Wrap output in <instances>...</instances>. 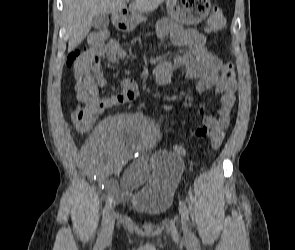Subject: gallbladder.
Segmentation results:
<instances>
[{
	"mask_svg": "<svg viewBox=\"0 0 295 250\" xmlns=\"http://www.w3.org/2000/svg\"><path fill=\"white\" fill-rule=\"evenodd\" d=\"M92 25L95 29L103 30L109 25V17L107 14H99L94 16Z\"/></svg>",
	"mask_w": 295,
	"mask_h": 250,
	"instance_id": "obj_1",
	"label": "gallbladder"
}]
</instances>
